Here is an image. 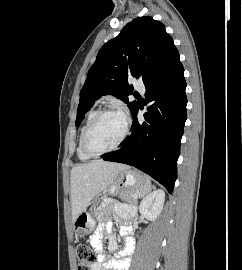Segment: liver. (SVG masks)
Segmentation results:
<instances>
[{
  "label": "liver",
  "instance_id": "1",
  "mask_svg": "<svg viewBox=\"0 0 242 270\" xmlns=\"http://www.w3.org/2000/svg\"><path fill=\"white\" fill-rule=\"evenodd\" d=\"M129 169L127 165L94 160L77 165L71 170L72 222L84 211L91 200L112 186L120 172Z\"/></svg>",
  "mask_w": 242,
  "mask_h": 270
}]
</instances>
